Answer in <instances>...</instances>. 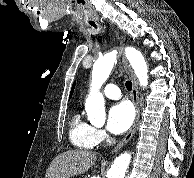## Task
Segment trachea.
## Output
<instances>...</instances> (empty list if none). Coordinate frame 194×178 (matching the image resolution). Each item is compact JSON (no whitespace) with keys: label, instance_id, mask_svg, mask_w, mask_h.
Listing matches in <instances>:
<instances>
[{"label":"trachea","instance_id":"1","mask_svg":"<svg viewBox=\"0 0 194 178\" xmlns=\"http://www.w3.org/2000/svg\"><path fill=\"white\" fill-rule=\"evenodd\" d=\"M91 26H93L94 28H97L95 23H91ZM125 86L127 88V90L131 91L132 90V82L131 81H126Z\"/></svg>","mask_w":194,"mask_h":178}]
</instances>
